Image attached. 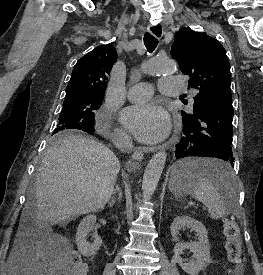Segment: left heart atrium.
Listing matches in <instances>:
<instances>
[{
    "instance_id": "obj_1",
    "label": "left heart atrium",
    "mask_w": 263,
    "mask_h": 275,
    "mask_svg": "<svg viewBox=\"0 0 263 275\" xmlns=\"http://www.w3.org/2000/svg\"><path fill=\"white\" fill-rule=\"evenodd\" d=\"M122 122L135 138L144 143L161 141L170 131L168 113L154 102L130 106L124 111Z\"/></svg>"
}]
</instances>
